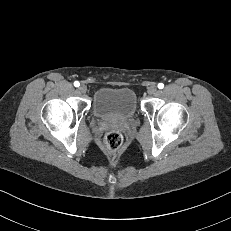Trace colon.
<instances>
[{"label": "colon", "mask_w": 231, "mask_h": 231, "mask_svg": "<svg viewBox=\"0 0 231 231\" xmlns=\"http://www.w3.org/2000/svg\"><path fill=\"white\" fill-rule=\"evenodd\" d=\"M123 143V136L118 131H110L104 137V148L109 153H115Z\"/></svg>", "instance_id": "colon-1"}]
</instances>
